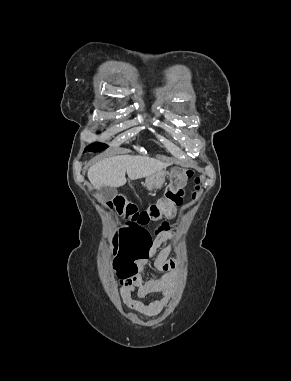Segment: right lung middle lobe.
Here are the masks:
<instances>
[{
  "label": "right lung middle lobe",
  "mask_w": 291,
  "mask_h": 381,
  "mask_svg": "<svg viewBox=\"0 0 291 381\" xmlns=\"http://www.w3.org/2000/svg\"><path fill=\"white\" fill-rule=\"evenodd\" d=\"M108 146L105 145V144H102V143H95V144H91L90 146H88L84 152L86 151H93V152H97V151H101V150H104L105 148H107Z\"/></svg>",
  "instance_id": "dd1d6c3e"
}]
</instances>
